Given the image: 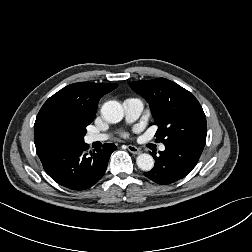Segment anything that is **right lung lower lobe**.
I'll list each match as a JSON object with an SVG mask.
<instances>
[{
  "label": "right lung lower lobe",
  "instance_id": "obj_1",
  "mask_svg": "<svg viewBox=\"0 0 252 252\" xmlns=\"http://www.w3.org/2000/svg\"><path fill=\"white\" fill-rule=\"evenodd\" d=\"M114 144L87 152V144L62 143L36 147L46 173L58 184L72 190H85L104 175Z\"/></svg>",
  "mask_w": 252,
  "mask_h": 252
}]
</instances>
